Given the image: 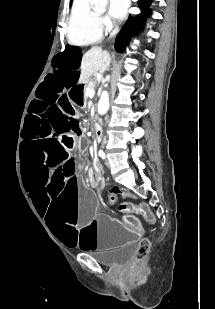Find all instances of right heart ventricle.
I'll list each match as a JSON object with an SVG mask.
<instances>
[{
    "label": "right heart ventricle",
    "mask_w": 215,
    "mask_h": 309,
    "mask_svg": "<svg viewBox=\"0 0 215 309\" xmlns=\"http://www.w3.org/2000/svg\"><path fill=\"white\" fill-rule=\"evenodd\" d=\"M103 32L93 21L88 9H75L67 23L66 38L70 45L82 47L89 42H99Z\"/></svg>",
    "instance_id": "e07e8e85"
}]
</instances>
